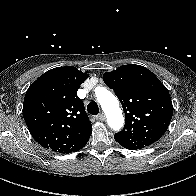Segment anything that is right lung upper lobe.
I'll list each match as a JSON object with an SVG mask.
<instances>
[{"label": "right lung upper lobe", "mask_w": 196, "mask_h": 196, "mask_svg": "<svg viewBox=\"0 0 196 196\" xmlns=\"http://www.w3.org/2000/svg\"><path fill=\"white\" fill-rule=\"evenodd\" d=\"M74 66L57 67L42 74L27 90L23 117L36 142L59 153L86 145L92 126L77 90L87 79Z\"/></svg>", "instance_id": "1"}]
</instances>
